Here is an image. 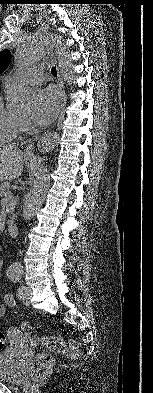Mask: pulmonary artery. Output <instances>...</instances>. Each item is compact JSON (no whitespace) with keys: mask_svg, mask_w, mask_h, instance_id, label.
Wrapping results in <instances>:
<instances>
[{"mask_svg":"<svg viewBox=\"0 0 153 393\" xmlns=\"http://www.w3.org/2000/svg\"><path fill=\"white\" fill-rule=\"evenodd\" d=\"M42 74L39 71L38 66L34 65L28 68L24 73L17 77V81L22 84H39L42 81Z\"/></svg>","mask_w":153,"mask_h":393,"instance_id":"obj_1","label":"pulmonary artery"}]
</instances>
